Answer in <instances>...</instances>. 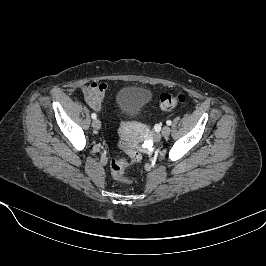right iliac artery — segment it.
I'll use <instances>...</instances> for the list:
<instances>
[{
  "label": "right iliac artery",
  "mask_w": 266,
  "mask_h": 266,
  "mask_svg": "<svg viewBox=\"0 0 266 266\" xmlns=\"http://www.w3.org/2000/svg\"><path fill=\"white\" fill-rule=\"evenodd\" d=\"M91 117H92V119H96L97 118V115L95 113H92L91 114Z\"/></svg>",
  "instance_id": "obj_1"
}]
</instances>
